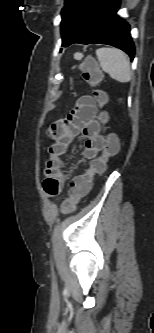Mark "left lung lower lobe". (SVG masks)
<instances>
[{"instance_id": "1", "label": "left lung lower lobe", "mask_w": 154, "mask_h": 333, "mask_svg": "<svg viewBox=\"0 0 154 333\" xmlns=\"http://www.w3.org/2000/svg\"><path fill=\"white\" fill-rule=\"evenodd\" d=\"M120 0H98L83 17L75 34L65 46L73 43H100L117 47L134 58L135 48L130 36V26L116 12Z\"/></svg>"}]
</instances>
